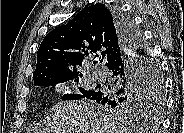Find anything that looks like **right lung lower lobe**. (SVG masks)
<instances>
[{
	"label": "right lung lower lobe",
	"mask_w": 184,
	"mask_h": 133,
	"mask_svg": "<svg viewBox=\"0 0 184 133\" xmlns=\"http://www.w3.org/2000/svg\"><path fill=\"white\" fill-rule=\"evenodd\" d=\"M113 15L121 35L122 47L107 67L117 88L112 91L97 90L86 97L107 106L118 97L132 92L143 81L147 65L145 47L135 35L132 22L118 9H113Z\"/></svg>",
	"instance_id": "obj_1"
}]
</instances>
